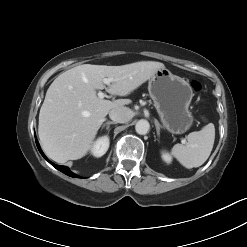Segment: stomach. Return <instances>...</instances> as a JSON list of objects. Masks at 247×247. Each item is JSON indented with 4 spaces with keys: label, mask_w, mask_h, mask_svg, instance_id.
Returning a JSON list of instances; mask_svg holds the SVG:
<instances>
[{
    "label": "stomach",
    "mask_w": 247,
    "mask_h": 247,
    "mask_svg": "<svg viewBox=\"0 0 247 247\" xmlns=\"http://www.w3.org/2000/svg\"><path fill=\"white\" fill-rule=\"evenodd\" d=\"M148 90L164 128L173 134L190 129L194 120L189 110L193 91L184 78L161 68L151 77Z\"/></svg>",
    "instance_id": "stomach-1"
}]
</instances>
